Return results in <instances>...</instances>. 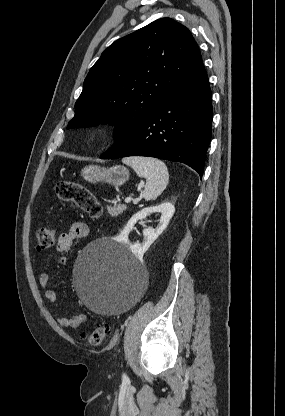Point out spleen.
Returning a JSON list of instances; mask_svg holds the SVG:
<instances>
[{
  "instance_id": "obj_1",
  "label": "spleen",
  "mask_w": 285,
  "mask_h": 416,
  "mask_svg": "<svg viewBox=\"0 0 285 416\" xmlns=\"http://www.w3.org/2000/svg\"><path fill=\"white\" fill-rule=\"evenodd\" d=\"M123 164L131 166L139 178H147L143 198L156 200L164 192L169 182L168 170L161 160L156 158H141V156H131L123 158Z\"/></svg>"
}]
</instances>
